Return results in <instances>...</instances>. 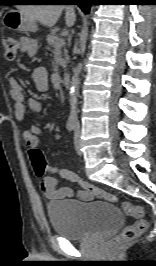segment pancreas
<instances>
[{
  "mask_svg": "<svg viewBox=\"0 0 156 266\" xmlns=\"http://www.w3.org/2000/svg\"><path fill=\"white\" fill-rule=\"evenodd\" d=\"M46 41H47L48 45H50L54 48L55 52L61 53V48L64 45V41L57 34L51 33L50 35L47 36ZM66 53H67V51H65V54ZM60 63L63 67H66V60L65 59H61Z\"/></svg>",
  "mask_w": 156,
  "mask_h": 266,
  "instance_id": "1",
  "label": "pancreas"
}]
</instances>
